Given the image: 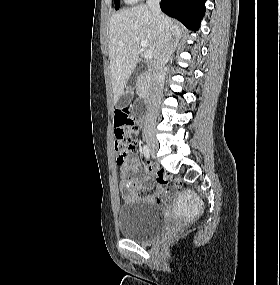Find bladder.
Returning <instances> with one entry per match:
<instances>
[{
  "mask_svg": "<svg viewBox=\"0 0 280 285\" xmlns=\"http://www.w3.org/2000/svg\"><path fill=\"white\" fill-rule=\"evenodd\" d=\"M117 220L120 234L138 242H146L157 236L167 223L157 207L142 200L121 204Z\"/></svg>",
  "mask_w": 280,
  "mask_h": 285,
  "instance_id": "bladder-1",
  "label": "bladder"
}]
</instances>
